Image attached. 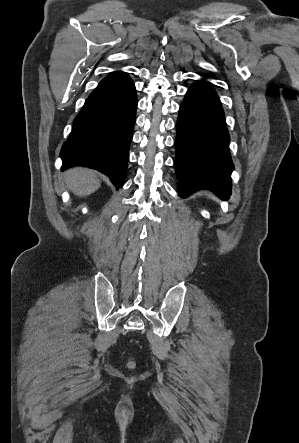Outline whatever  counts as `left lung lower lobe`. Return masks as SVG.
I'll use <instances>...</instances> for the list:
<instances>
[{"label": "left lung lower lobe", "instance_id": "1", "mask_svg": "<svg viewBox=\"0 0 299 443\" xmlns=\"http://www.w3.org/2000/svg\"><path fill=\"white\" fill-rule=\"evenodd\" d=\"M175 169L178 194L185 198L200 189L222 200L231 195L229 133L219 98L207 81L187 91L176 124Z\"/></svg>", "mask_w": 299, "mask_h": 443}]
</instances>
